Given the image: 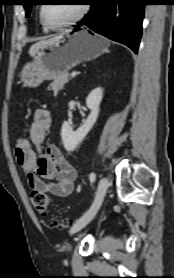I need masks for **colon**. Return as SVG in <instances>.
<instances>
[{"label":"colon","mask_w":174,"mask_h":278,"mask_svg":"<svg viewBox=\"0 0 174 278\" xmlns=\"http://www.w3.org/2000/svg\"><path fill=\"white\" fill-rule=\"evenodd\" d=\"M30 139L19 137L16 141V149L19 151H24L30 147ZM30 200L33 207L41 214H46L48 205H49V198L46 193L41 191H32L30 194ZM66 220H54L52 225L54 227H63L67 225Z\"/></svg>","instance_id":"colon-1"}]
</instances>
